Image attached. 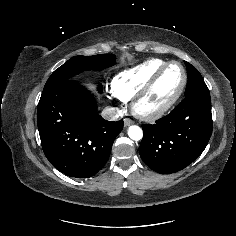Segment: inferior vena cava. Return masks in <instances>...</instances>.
<instances>
[{"label": "inferior vena cava", "instance_id": "602c4592", "mask_svg": "<svg viewBox=\"0 0 236 236\" xmlns=\"http://www.w3.org/2000/svg\"><path fill=\"white\" fill-rule=\"evenodd\" d=\"M102 117L107 120H117L121 113L115 107H105L101 113Z\"/></svg>", "mask_w": 236, "mask_h": 236}]
</instances>
